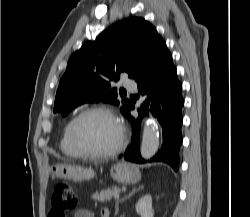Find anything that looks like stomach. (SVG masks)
<instances>
[{
  "instance_id": "0dacf381",
  "label": "stomach",
  "mask_w": 250,
  "mask_h": 217,
  "mask_svg": "<svg viewBox=\"0 0 250 217\" xmlns=\"http://www.w3.org/2000/svg\"><path fill=\"white\" fill-rule=\"evenodd\" d=\"M52 174L56 178L74 181L90 180L95 176L92 169L71 164L54 165L52 167ZM111 176L119 183L130 184L135 183L140 179V171L133 164L120 162L112 166Z\"/></svg>"
}]
</instances>
